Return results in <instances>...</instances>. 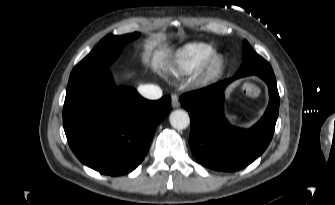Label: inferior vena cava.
<instances>
[{"instance_id": "obj_1", "label": "inferior vena cava", "mask_w": 335, "mask_h": 205, "mask_svg": "<svg viewBox=\"0 0 335 205\" xmlns=\"http://www.w3.org/2000/svg\"><path fill=\"white\" fill-rule=\"evenodd\" d=\"M138 92L145 98L157 100L162 97V90L159 86L153 84L140 85Z\"/></svg>"}]
</instances>
